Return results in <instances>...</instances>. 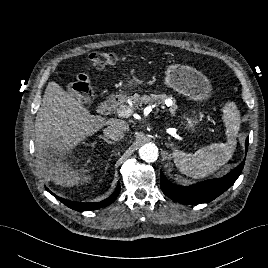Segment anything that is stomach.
<instances>
[{"instance_id": "obj_1", "label": "stomach", "mask_w": 268, "mask_h": 268, "mask_svg": "<svg viewBox=\"0 0 268 268\" xmlns=\"http://www.w3.org/2000/svg\"><path fill=\"white\" fill-rule=\"evenodd\" d=\"M142 83V80L133 77L127 81V86L136 87ZM164 84L174 91H177L179 94L198 102L208 99L212 90L209 79L200 71L186 63L173 62L167 66ZM185 119V128L193 130L199 123L200 116L192 112V115Z\"/></svg>"}]
</instances>
